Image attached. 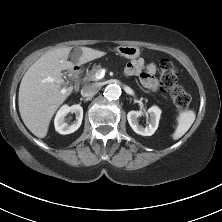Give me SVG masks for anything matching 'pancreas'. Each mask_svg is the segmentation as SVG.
<instances>
[{"mask_svg":"<svg viewBox=\"0 0 222 222\" xmlns=\"http://www.w3.org/2000/svg\"><path fill=\"white\" fill-rule=\"evenodd\" d=\"M101 70V66L97 65L94 66L90 71L86 73V76L84 78L85 81H97L96 74Z\"/></svg>","mask_w":222,"mask_h":222,"instance_id":"cf45deb5","label":"pancreas"}]
</instances>
